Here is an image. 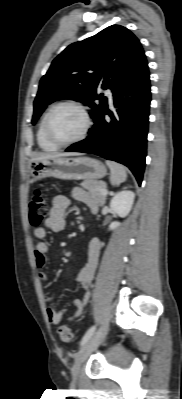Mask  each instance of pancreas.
Instances as JSON below:
<instances>
[{
    "mask_svg": "<svg viewBox=\"0 0 182 399\" xmlns=\"http://www.w3.org/2000/svg\"><path fill=\"white\" fill-rule=\"evenodd\" d=\"M81 186L96 197L101 205L104 203L106 195L103 191L106 190V184L103 181L87 179L81 183Z\"/></svg>",
    "mask_w": 182,
    "mask_h": 399,
    "instance_id": "obj_1",
    "label": "pancreas"
}]
</instances>
